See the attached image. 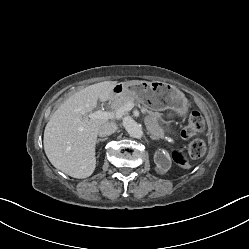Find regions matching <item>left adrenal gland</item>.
Returning <instances> with one entry per match:
<instances>
[{"instance_id":"1","label":"left adrenal gland","mask_w":249,"mask_h":249,"mask_svg":"<svg viewBox=\"0 0 249 249\" xmlns=\"http://www.w3.org/2000/svg\"><path fill=\"white\" fill-rule=\"evenodd\" d=\"M150 138L152 139V140H158V138L157 137H154V136H150Z\"/></svg>"}]
</instances>
